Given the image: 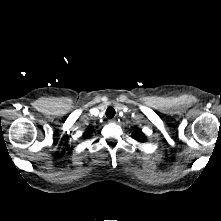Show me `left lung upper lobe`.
Returning <instances> with one entry per match:
<instances>
[{"label":"left lung upper lobe","mask_w":221,"mask_h":221,"mask_svg":"<svg viewBox=\"0 0 221 221\" xmlns=\"http://www.w3.org/2000/svg\"><path fill=\"white\" fill-rule=\"evenodd\" d=\"M133 137H134V139H136V140L139 141V142H144V141H145V136H144V134L141 132L140 129H134Z\"/></svg>","instance_id":"5c2ea615"}]
</instances>
